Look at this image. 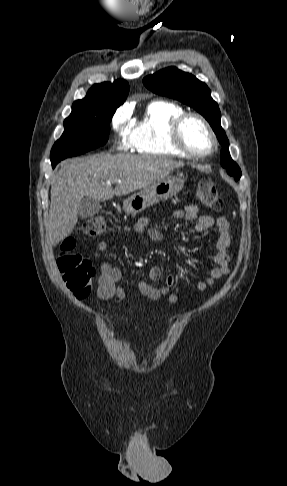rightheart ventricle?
<instances>
[{
  "label": "right heart ventricle",
  "mask_w": 287,
  "mask_h": 486,
  "mask_svg": "<svg viewBox=\"0 0 287 486\" xmlns=\"http://www.w3.org/2000/svg\"><path fill=\"white\" fill-rule=\"evenodd\" d=\"M183 113L184 109L174 102L149 103L142 117L127 131L131 148L138 154L184 157L170 141L171 125Z\"/></svg>",
  "instance_id": "obj_1"
}]
</instances>
